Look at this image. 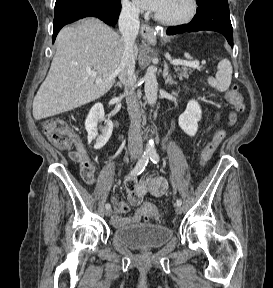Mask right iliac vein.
I'll list each match as a JSON object with an SVG mask.
<instances>
[{"instance_id":"right-iliac-vein-1","label":"right iliac vein","mask_w":273,"mask_h":288,"mask_svg":"<svg viewBox=\"0 0 273 288\" xmlns=\"http://www.w3.org/2000/svg\"><path fill=\"white\" fill-rule=\"evenodd\" d=\"M111 214H112V210H111V209H107V210L105 211V215H106L107 217L111 216Z\"/></svg>"}]
</instances>
